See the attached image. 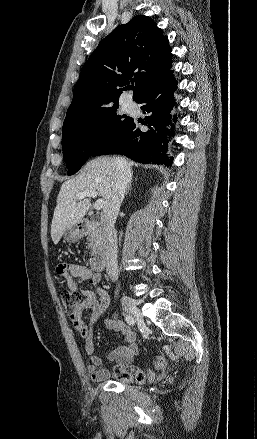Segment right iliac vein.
I'll use <instances>...</instances> for the list:
<instances>
[{"mask_svg": "<svg viewBox=\"0 0 257 439\" xmlns=\"http://www.w3.org/2000/svg\"><path fill=\"white\" fill-rule=\"evenodd\" d=\"M121 304L123 309L130 315L136 317L140 322H143L140 311L138 309V303L136 300L123 295L121 297Z\"/></svg>", "mask_w": 257, "mask_h": 439, "instance_id": "obj_1", "label": "right iliac vein"}]
</instances>
